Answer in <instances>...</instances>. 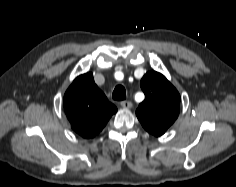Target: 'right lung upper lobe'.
Here are the masks:
<instances>
[{
  "label": "right lung upper lobe",
  "mask_w": 236,
  "mask_h": 187,
  "mask_svg": "<svg viewBox=\"0 0 236 187\" xmlns=\"http://www.w3.org/2000/svg\"><path fill=\"white\" fill-rule=\"evenodd\" d=\"M64 110L72 129L83 138H93L117 108L97 87L92 73L78 76L64 95Z\"/></svg>",
  "instance_id": "obj_1"
}]
</instances>
